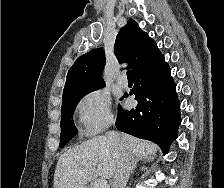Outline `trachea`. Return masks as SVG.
Segmentation results:
<instances>
[{
  "mask_svg": "<svg viewBox=\"0 0 224 188\" xmlns=\"http://www.w3.org/2000/svg\"><path fill=\"white\" fill-rule=\"evenodd\" d=\"M127 78L130 80H132V74H131V70L127 71Z\"/></svg>",
  "mask_w": 224,
  "mask_h": 188,
  "instance_id": "3493384b",
  "label": "trachea"
}]
</instances>
